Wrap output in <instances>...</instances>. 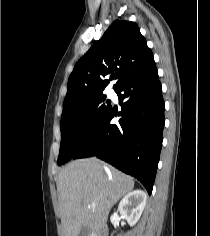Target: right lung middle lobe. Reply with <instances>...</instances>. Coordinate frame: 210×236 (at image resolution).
I'll list each match as a JSON object with an SVG mask.
<instances>
[{
  "mask_svg": "<svg viewBox=\"0 0 210 236\" xmlns=\"http://www.w3.org/2000/svg\"><path fill=\"white\" fill-rule=\"evenodd\" d=\"M105 95L85 101L78 108L62 114L61 145L57 164L72 159L90 138L111 107L103 101Z\"/></svg>",
  "mask_w": 210,
  "mask_h": 236,
  "instance_id": "1",
  "label": "right lung middle lobe"
}]
</instances>
